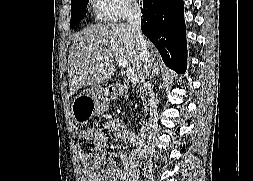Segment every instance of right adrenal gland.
Here are the masks:
<instances>
[{
    "instance_id": "obj_1",
    "label": "right adrenal gland",
    "mask_w": 253,
    "mask_h": 181,
    "mask_svg": "<svg viewBox=\"0 0 253 181\" xmlns=\"http://www.w3.org/2000/svg\"><path fill=\"white\" fill-rule=\"evenodd\" d=\"M155 75H156V76H159V75H160V68H159V67L153 68L151 77L153 78Z\"/></svg>"
}]
</instances>
